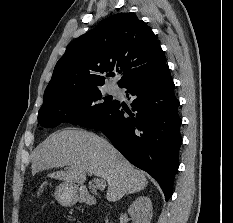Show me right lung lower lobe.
Segmentation results:
<instances>
[{"label":"right lung lower lobe","instance_id":"1","mask_svg":"<svg viewBox=\"0 0 233 223\" xmlns=\"http://www.w3.org/2000/svg\"><path fill=\"white\" fill-rule=\"evenodd\" d=\"M120 87L127 89L131 109L116 101L82 127L102 131L128 161L158 181L168 200L182 143L179 102L169 67L164 63Z\"/></svg>","mask_w":233,"mask_h":223}]
</instances>
